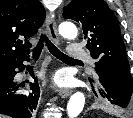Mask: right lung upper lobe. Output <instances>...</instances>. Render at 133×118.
I'll return each mask as SVG.
<instances>
[{
	"label": "right lung upper lobe",
	"instance_id": "right-lung-upper-lobe-1",
	"mask_svg": "<svg viewBox=\"0 0 133 118\" xmlns=\"http://www.w3.org/2000/svg\"><path fill=\"white\" fill-rule=\"evenodd\" d=\"M44 19L38 0H0V67L28 57L31 44L26 40L37 33Z\"/></svg>",
	"mask_w": 133,
	"mask_h": 118
}]
</instances>
